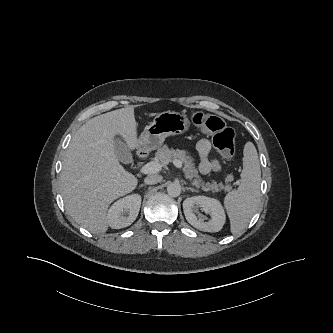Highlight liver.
Returning a JSON list of instances; mask_svg holds the SVG:
<instances>
[{"mask_svg": "<svg viewBox=\"0 0 333 333\" xmlns=\"http://www.w3.org/2000/svg\"><path fill=\"white\" fill-rule=\"evenodd\" d=\"M116 136H121L129 149L140 148L133 107L104 113L83 124L63 161L60 181L65 208L76 223L92 233L108 230L109 205L138 184L118 161Z\"/></svg>", "mask_w": 333, "mask_h": 333, "instance_id": "1", "label": "liver"}]
</instances>
